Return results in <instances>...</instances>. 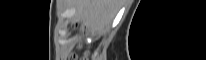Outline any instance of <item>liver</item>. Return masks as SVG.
Wrapping results in <instances>:
<instances>
[{
  "instance_id": "6515ba94",
  "label": "liver",
  "mask_w": 206,
  "mask_h": 60,
  "mask_svg": "<svg viewBox=\"0 0 206 60\" xmlns=\"http://www.w3.org/2000/svg\"><path fill=\"white\" fill-rule=\"evenodd\" d=\"M75 19L95 30L110 25L121 7V0H72Z\"/></svg>"
}]
</instances>
